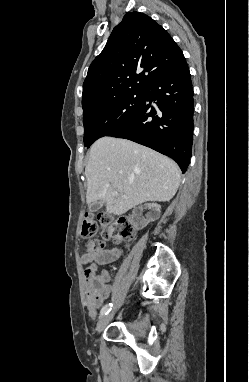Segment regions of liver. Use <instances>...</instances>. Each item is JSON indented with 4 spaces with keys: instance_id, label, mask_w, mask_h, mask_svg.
<instances>
[{
    "instance_id": "liver-1",
    "label": "liver",
    "mask_w": 249,
    "mask_h": 382,
    "mask_svg": "<svg viewBox=\"0 0 249 382\" xmlns=\"http://www.w3.org/2000/svg\"><path fill=\"white\" fill-rule=\"evenodd\" d=\"M85 176L87 203L101 200L106 212L114 215L147 201H170L181 180L173 160L130 140L108 136L91 146Z\"/></svg>"
}]
</instances>
